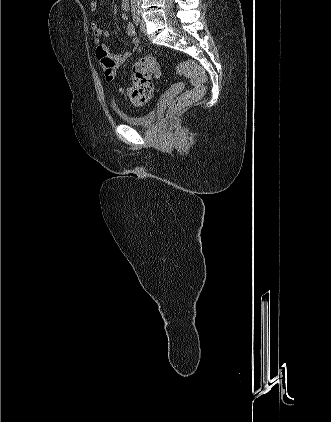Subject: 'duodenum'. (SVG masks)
Wrapping results in <instances>:
<instances>
[{
    "instance_id": "410a0bca",
    "label": "duodenum",
    "mask_w": 331,
    "mask_h": 422,
    "mask_svg": "<svg viewBox=\"0 0 331 422\" xmlns=\"http://www.w3.org/2000/svg\"><path fill=\"white\" fill-rule=\"evenodd\" d=\"M122 2L124 3L126 8H129V6H130L129 0H122Z\"/></svg>"
}]
</instances>
